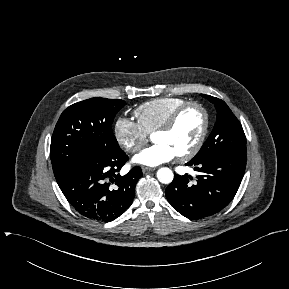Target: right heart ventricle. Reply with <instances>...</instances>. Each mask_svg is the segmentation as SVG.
I'll use <instances>...</instances> for the list:
<instances>
[{
    "mask_svg": "<svg viewBox=\"0 0 289 289\" xmlns=\"http://www.w3.org/2000/svg\"><path fill=\"white\" fill-rule=\"evenodd\" d=\"M187 102L183 98L163 97L149 100L134 110L138 124L147 133H154L168 117L182 104Z\"/></svg>",
    "mask_w": 289,
    "mask_h": 289,
    "instance_id": "1",
    "label": "right heart ventricle"
}]
</instances>
